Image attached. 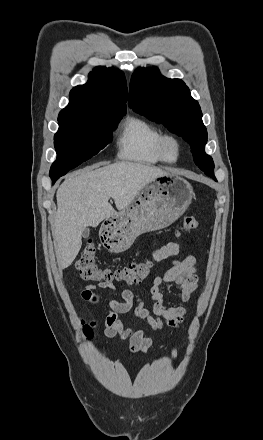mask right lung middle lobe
<instances>
[{
    "mask_svg": "<svg viewBox=\"0 0 263 440\" xmlns=\"http://www.w3.org/2000/svg\"><path fill=\"white\" fill-rule=\"evenodd\" d=\"M124 114H98L78 122H59L54 137L57 159L50 169L52 181L90 159L112 140V131Z\"/></svg>",
    "mask_w": 263,
    "mask_h": 440,
    "instance_id": "dd1d6c3e",
    "label": "right lung middle lobe"
}]
</instances>
